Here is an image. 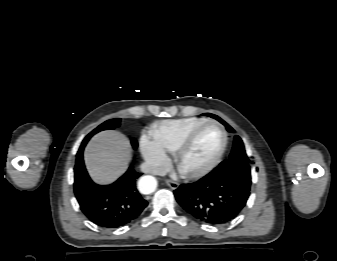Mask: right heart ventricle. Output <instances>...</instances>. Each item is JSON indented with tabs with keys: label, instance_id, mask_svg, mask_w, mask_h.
Returning a JSON list of instances; mask_svg holds the SVG:
<instances>
[{
	"label": "right heart ventricle",
	"instance_id": "obj_1",
	"mask_svg": "<svg viewBox=\"0 0 337 261\" xmlns=\"http://www.w3.org/2000/svg\"><path fill=\"white\" fill-rule=\"evenodd\" d=\"M205 121L198 117L162 120L151 126L150 136L164 153L174 154L186 135Z\"/></svg>",
	"mask_w": 337,
	"mask_h": 261
}]
</instances>
